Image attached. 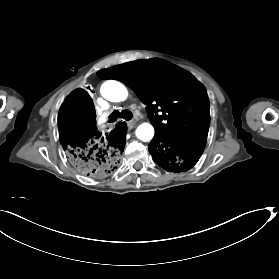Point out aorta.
<instances>
[{
  "instance_id": "aorta-1",
  "label": "aorta",
  "mask_w": 279,
  "mask_h": 279,
  "mask_svg": "<svg viewBox=\"0 0 279 279\" xmlns=\"http://www.w3.org/2000/svg\"><path fill=\"white\" fill-rule=\"evenodd\" d=\"M101 95L108 101L120 102L128 96L127 88L116 80H108L101 86ZM136 136L141 141L147 142L154 136V128L149 123H143L136 129Z\"/></svg>"
}]
</instances>
